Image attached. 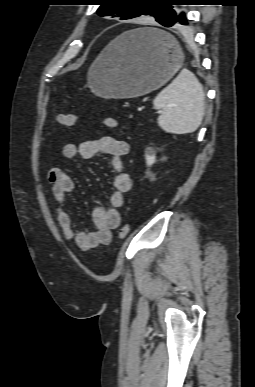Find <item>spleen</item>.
I'll return each instance as SVG.
<instances>
[{
	"instance_id": "1",
	"label": "spleen",
	"mask_w": 255,
	"mask_h": 387,
	"mask_svg": "<svg viewBox=\"0 0 255 387\" xmlns=\"http://www.w3.org/2000/svg\"><path fill=\"white\" fill-rule=\"evenodd\" d=\"M161 110L158 125L167 133H192L200 126L205 111V94L197 77L187 69L165 87L153 101Z\"/></svg>"
}]
</instances>
